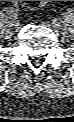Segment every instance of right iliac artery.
Returning a JSON list of instances; mask_svg holds the SVG:
<instances>
[{"label":"right iliac artery","instance_id":"1","mask_svg":"<svg viewBox=\"0 0 74 122\" xmlns=\"http://www.w3.org/2000/svg\"><path fill=\"white\" fill-rule=\"evenodd\" d=\"M7 13L9 14V16L14 17L15 10L13 8H10L9 10H7Z\"/></svg>","mask_w":74,"mask_h":122}]
</instances>
